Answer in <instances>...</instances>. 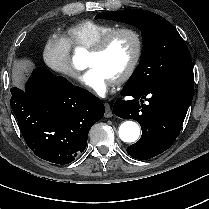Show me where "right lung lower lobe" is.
Returning <instances> with one entry per match:
<instances>
[{"mask_svg":"<svg viewBox=\"0 0 209 209\" xmlns=\"http://www.w3.org/2000/svg\"><path fill=\"white\" fill-rule=\"evenodd\" d=\"M10 105L28 147L40 158L68 164L83 152L105 107L89 91L46 68H36L25 90L10 89Z\"/></svg>","mask_w":209,"mask_h":209,"instance_id":"98d812e1","label":"right lung lower lobe"}]
</instances>
